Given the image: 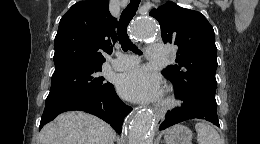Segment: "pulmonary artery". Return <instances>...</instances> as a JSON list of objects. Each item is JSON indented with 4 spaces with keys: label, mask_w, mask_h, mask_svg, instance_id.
Masks as SVG:
<instances>
[{
    "label": "pulmonary artery",
    "mask_w": 260,
    "mask_h": 144,
    "mask_svg": "<svg viewBox=\"0 0 260 144\" xmlns=\"http://www.w3.org/2000/svg\"><path fill=\"white\" fill-rule=\"evenodd\" d=\"M147 60L150 62L163 61L167 56V49L159 45H150L147 48ZM139 63L137 55L119 54L112 62V67L116 70H128L134 68Z\"/></svg>",
    "instance_id": "e3ab8cb5"
}]
</instances>
